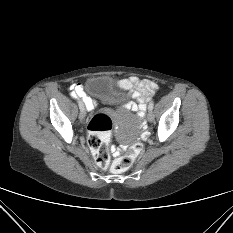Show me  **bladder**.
<instances>
[{
    "mask_svg": "<svg viewBox=\"0 0 233 233\" xmlns=\"http://www.w3.org/2000/svg\"><path fill=\"white\" fill-rule=\"evenodd\" d=\"M85 88L89 95L106 103L117 104L128 99V92L118 86L113 78L106 75L88 78Z\"/></svg>",
    "mask_w": 233,
    "mask_h": 233,
    "instance_id": "1",
    "label": "bladder"
}]
</instances>
